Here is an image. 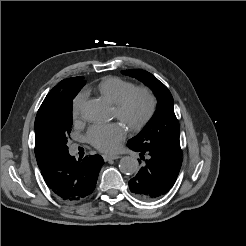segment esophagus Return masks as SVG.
I'll list each match as a JSON object with an SVG mask.
<instances>
[{"label":"esophagus","instance_id":"1","mask_svg":"<svg viewBox=\"0 0 246 246\" xmlns=\"http://www.w3.org/2000/svg\"><path fill=\"white\" fill-rule=\"evenodd\" d=\"M119 155H103V159L105 162L110 161V160H116L119 159Z\"/></svg>","mask_w":246,"mask_h":246}]
</instances>
